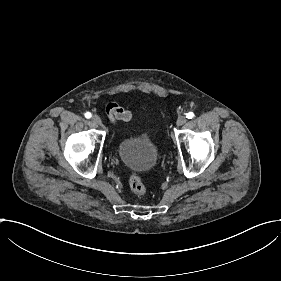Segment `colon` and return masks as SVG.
<instances>
[{"label":"colon","mask_w":281,"mask_h":281,"mask_svg":"<svg viewBox=\"0 0 281 281\" xmlns=\"http://www.w3.org/2000/svg\"><path fill=\"white\" fill-rule=\"evenodd\" d=\"M128 187L136 197H143L148 193V186L139 174H131L128 178Z\"/></svg>","instance_id":"5ec220e1"}]
</instances>
